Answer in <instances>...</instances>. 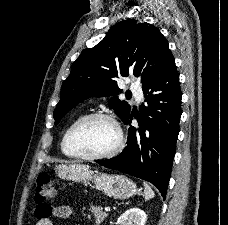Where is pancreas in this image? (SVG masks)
<instances>
[{
	"instance_id": "pancreas-1",
	"label": "pancreas",
	"mask_w": 228,
	"mask_h": 225,
	"mask_svg": "<svg viewBox=\"0 0 228 225\" xmlns=\"http://www.w3.org/2000/svg\"><path fill=\"white\" fill-rule=\"evenodd\" d=\"M89 211H91L92 215H94L96 221V225H101V223H103L105 217H107V213H103L101 207H91V209H89Z\"/></svg>"
}]
</instances>
